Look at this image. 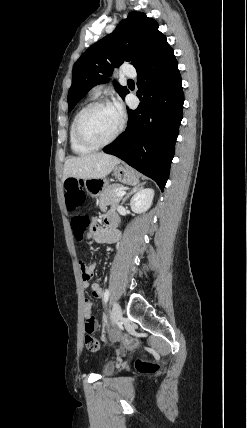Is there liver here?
<instances>
[{"instance_id":"obj_1","label":"liver","mask_w":247,"mask_h":428,"mask_svg":"<svg viewBox=\"0 0 247 428\" xmlns=\"http://www.w3.org/2000/svg\"><path fill=\"white\" fill-rule=\"evenodd\" d=\"M119 163L117 157L102 152L72 157L65 161L63 181L69 177L83 180L102 179Z\"/></svg>"}]
</instances>
